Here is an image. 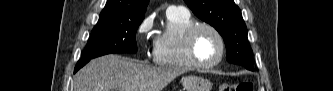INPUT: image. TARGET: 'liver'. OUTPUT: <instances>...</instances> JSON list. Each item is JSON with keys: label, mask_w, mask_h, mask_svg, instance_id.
Returning a JSON list of instances; mask_svg holds the SVG:
<instances>
[{"label": "liver", "mask_w": 333, "mask_h": 91, "mask_svg": "<svg viewBox=\"0 0 333 91\" xmlns=\"http://www.w3.org/2000/svg\"><path fill=\"white\" fill-rule=\"evenodd\" d=\"M183 72L151 67L118 55L91 60L74 77L75 91H162Z\"/></svg>", "instance_id": "liver-1"}]
</instances>
